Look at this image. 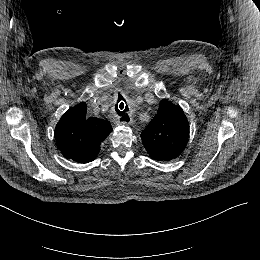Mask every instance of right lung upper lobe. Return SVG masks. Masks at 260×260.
Here are the masks:
<instances>
[{"mask_svg":"<svg viewBox=\"0 0 260 260\" xmlns=\"http://www.w3.org/2000/svg\"><path fill=\"white\" fill-rule=\"evenodd\" d=\"M86 112L85 102L70 108L55 128V139L63 156L79 163L93 161L101 142L112 131L108 121L88 117Z\"/></svg>","mask_w":260,"mask_h":260,"instance_id":"cb5924a9","label":"right lung upper lobe"}]
</instances>
